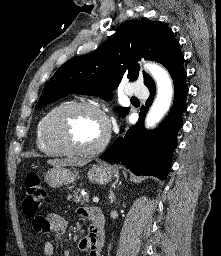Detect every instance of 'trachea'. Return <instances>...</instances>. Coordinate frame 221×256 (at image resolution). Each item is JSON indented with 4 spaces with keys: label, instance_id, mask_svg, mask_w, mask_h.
Segmentation results:
<instances>
[{
    "label": "trachea",
    "instance_id": "1",
    "mask_svg": "<svg viewBox=\"0 0 221 256\" xmlns=\"http://www.w3.org/2000/svg\"><path fill=\"white\" fill-rule=\"evenodd\" d=\"M132 99H134V100H138L137 98H135V97H133Z\"/></svg>",
    "mask_w": 221,
    "mask_h": 256
}]
</instances>
